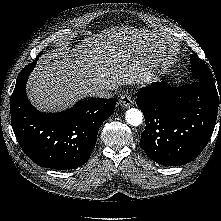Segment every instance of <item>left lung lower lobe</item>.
<instances>
[{
    "instance_id": "0a47b994",
    "label": "left lung lower lobe",
    "mask_w": 221,
    "mask_h": 221,
    "mask_svg": "<svg viewBox=\"0 0 221 221\" xmlns=\"http://www.w3.org/2000/svg\"><path fill=\"white\" fill-rule=\"evenodd\" d=\"M219 103L220 87L202 81L179 87L158 82L141 88L136 104L144 114L146 128L140 146L162 165L192 161L213 133Z\"/></svg>"
}]
</instances>
